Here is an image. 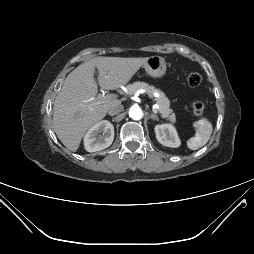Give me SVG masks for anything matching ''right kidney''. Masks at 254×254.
<instances>
[{
	"label": "right kidney",
	"mask_w": 254,
	"mask_h": 254,
	"mask_svg": "<svg viewBox=\"0 0 254 254\" xmlns=\"http://www.w3.org/2000/svg\"><path fill=\"white\" fill-rule=\"evenodd\" d=\"M113 140L114 127L109 121L103 120L92 126L85 134L84 147L88 152H96L108 148Z\"/></svg>",
	"instance_id": "1"
}]
</instances>
